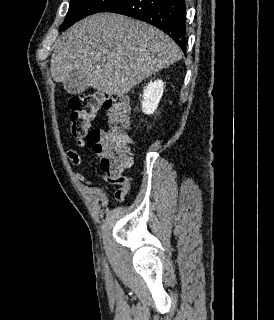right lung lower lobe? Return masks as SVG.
I'll return each mask as SVG.
<instances>
[{
  "mask_svg": "<svg viewBox=\"0 0 274 320\" xmlns=\"http://www.w3.org/2000/svg\"><path fill=\"white\" fill-rule=\"evenodd\" d=\"M185 0H116L101 12L130 16L152 24L168 34L186 51Z\"/></svg>",
  "mask_w": 274,
  "mask_h": 320,
  "instance_id": "obj_1",
  "label": "right lung lower lobe"
}]
</instances>
